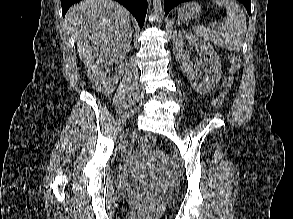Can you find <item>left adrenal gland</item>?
Returning <instances> with one entry per match:
<instances>
[{
    "mask_svg": "<svg viewBox=\"0 0 293 219\" xmlns=\"http://www.w3.org/2000/svg\"><path fill=\"white\" fill-rule=\"evenodd\" d=\"M180 24V21L179 20H177V22H176V25H179Z\"/></svg>",
    "mask_w": 293,
    "mask_h": 219,
    "instance_id": "a2214340",
    "label": "left adrenal gland"
}]
</instances>
